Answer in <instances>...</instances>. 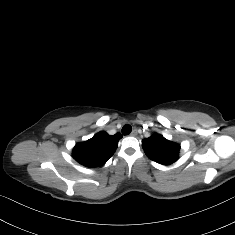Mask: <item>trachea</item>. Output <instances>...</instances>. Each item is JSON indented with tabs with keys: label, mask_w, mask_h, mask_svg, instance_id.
<instances>
[{
	"label": "trachea",
	"mask_w": 235,
	"mask_h": 235,
	"mask_svg": "<svg viewBox=\"0 0 235 235\" xmlns=\"http://www.w3.org/2000/svg\"><path fill=\"white\" fill-rule=\"evenodd\" d=\"M131 131H132V127L129 124L124 125L122 128L123 135H128L131 133Z\"/></svg>",
	"instance_id": "1"
}]
</instances>
